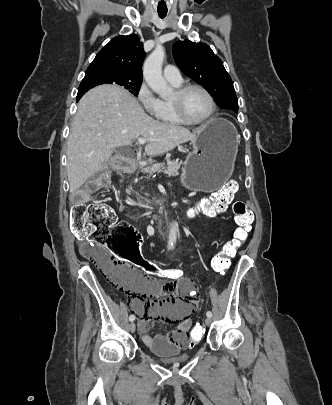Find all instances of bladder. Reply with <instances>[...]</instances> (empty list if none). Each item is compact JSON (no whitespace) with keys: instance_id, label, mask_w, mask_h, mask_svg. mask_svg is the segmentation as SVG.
<instances>
[{"instance_id":"1","label":"bladder","mask_w":332,"mask_h":405,"mask_svg":"<svg viewBox=\"0 0 332 405\" xmlns=\"http://www.w3.org/2000/svg\"><path fill=\"white\" fill-rule=\"evenodd\" d=\"M149 351L156 357H158L161 361L169 363H181L190 359V354L181 353L178 350H174L171 352H160L155 349L149 348Z\"/></svg>"}]
</instances>
